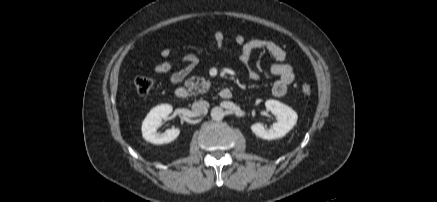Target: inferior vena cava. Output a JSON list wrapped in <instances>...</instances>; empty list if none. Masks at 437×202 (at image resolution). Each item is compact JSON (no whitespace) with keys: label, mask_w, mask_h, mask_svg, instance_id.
<instances>
[{"label":"inferior vena cava","mask_w":437,"mask_h":202,"mask_svg":"<svg viewBox=\"0 0 437 202\" xmlns=\"http://www.w3.org/2000/svg\"><path fill=\"white\" fill-rule=\"evenodd\" d=\"M209 108V103L204 100H199L194 102L192 105V110L196 115H201L206 112Z\"/></svg>","instance_id":"obj_1"}]
</instances>
